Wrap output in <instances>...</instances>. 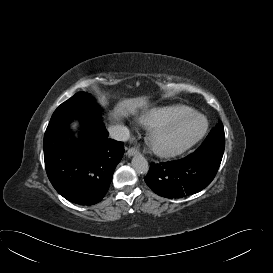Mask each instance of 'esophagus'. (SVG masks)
<instances>
[{"mask_svg": "<svg viewBox=\"0 0 273 273\" xmlns=\"http://www.w3.org/2000/svg\"><path fill=\"white\" fill-rule=\"evenodd\" d=\"M126 154H127L128 157H131V156H134V155H138L139 154V150L137 148H135V147H132V148L128 149V151H127Z\"/></svg>", "mask_w": 273, "mask_h": 273, "instance_id": "34e87169", "label": "esophagus"}]
</instances>
